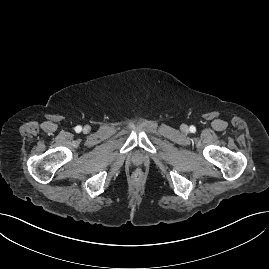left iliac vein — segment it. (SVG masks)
<instances>
[{"label": "left iliac vein", "instance_id": "obj_1", "mask_svg": "<svg viewBox=\"0 0 269 269\" xmlns=\"http://www.w3.org/2000/svg\"><path fill=\"white\" fill-rule=\"evenodd\" d=\"M182 128H183V130H187V126L186 125H184Z\"/></svg>", "mask_w": 269, "mask_h": 269}]
</instances>
